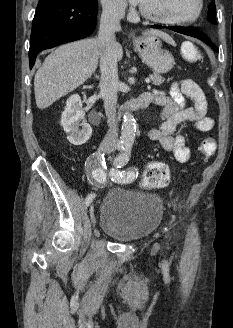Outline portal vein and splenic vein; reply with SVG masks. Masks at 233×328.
I'll return each mask as SVG.
<instances>
[{
	"mask_svg": "<svg viewBox=\"0 0 233 328\" xmlns=\"http://www.w3.org/2000/svg\"><path fill=\"white\" fill-rule=\"evenodd\" d=\"M145 82H146V83H150V78H146V79H145Z\"/></svg>",
	"mask_w": 233,
	"mask_h": 328,
	"instance_id": "18ae733b",
	"label": "portal vein and splenic vein"
}]
</instances>
